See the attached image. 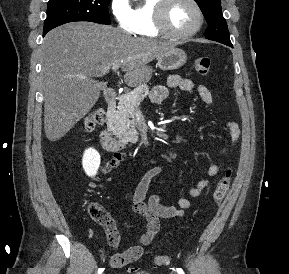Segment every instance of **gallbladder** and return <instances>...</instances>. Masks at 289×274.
<instances>
[{
	"label": "gallbladder",
	"mask_w": 289,
	"mask_h": 274,
	"mask_svg": "<svg viewBox=\"0 0 289 274\" xmlns=\"http://www.w3.org/2000/svg\"><path fill=\"white\" fill-rule=\"evenodd\" d=\"M99 87L100 89L104 88L105 87L104 83L103 82L99 83Z\"/></svg>",
	"instance_id": "obj_1"
}]
</instances>
